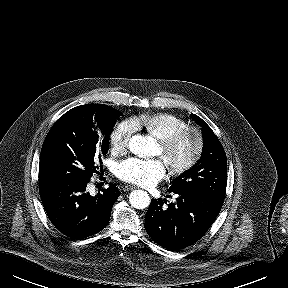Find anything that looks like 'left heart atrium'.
I'll return each instance as SVG.
<instances>
[{
	"label": "left heart atrium",
	"instance_id": "39dd6f15",
	"mask_svg": "<svg viewBox=\"0 0 288 288\" xmlns=\"http://www.w3.org/2000/svg\"><path fill=\"white\" fill-rule=\"evenodd\" d=\"M117 174L123 181L150 187L165 177L166 164L160 158H131L117 166Z\"/></svg>",
	"mask_w": 288,
	"mask_h": 288
}]
</instances>
